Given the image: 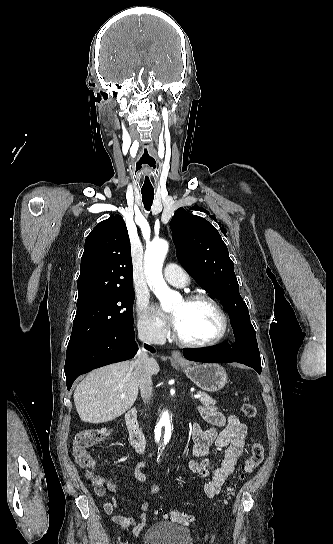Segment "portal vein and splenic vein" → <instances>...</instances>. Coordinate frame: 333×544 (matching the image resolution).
Returning a JSON list of instances; mask_svg holds the SVG:
<instances>
[{
  "label": "portal vein and splenic vein",
  "instance_id": "portal-vein-and-splenic-vein-1",
  "mask_svg": "<svg viewBox=\"0 0 333 544\" xmlns=\"http://www.w3.org/2000/svg\"><path fill=\"white\" fill-rule=\"evenodd\" d=\"M121 397L124 398V395H121ZM194 398L199 399V398H201V395L199 393H197V394L194 395Z\"/></svg>",
  "mask_w": 333,
  "mask_h": 544
}]
</instances>
